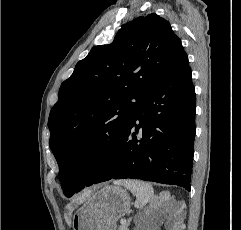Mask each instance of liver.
Here are the masks:
<instances>
[{
  "label": "liver",
  "mask_w": 241,
  "mask_h": 230,
  "mask_svg": "<svg viewBox=\"0 0 241 230\" xmlns=\"http://www.w3.org/2000/svg\"><path fill=\"white\" fill-rule=\"evenodd\" d=\"M71 213L69 214V217L66 219L67 224L70 226L71 225V219H70Z\"/></svg>",
  "instance_id": "obj_1"
}]
</instances>
